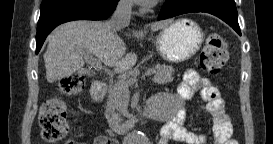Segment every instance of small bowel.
Masks as SVG:
<instances>
[{"label":"small bowel","mask_w":273,"mask_h":144,"mask_svg":"<svg viewBox=\"0 0 273 144\" xmlns=\"http://www.w3.org/2000/svg\"><path fill=\"white\" fill-rule=\"evenodd\" d=\"M198 94L203 101L199 111H205L213 118V135L216 144H236L232 138V125L226 111V104L220 90L207 78L200 76L194 70H188L184 74L178 91L174 94H166L169 106L165 110V124L160 130L159 144H167L176 141L185 144H206L207 136L197 134L184 127L187 112L184 104L192 100ZM75 144L76 142H69ZM115 143L104 135L95 138L94 144Z\"/></svg>","instance_id":"obj_1"}]
</instances>
